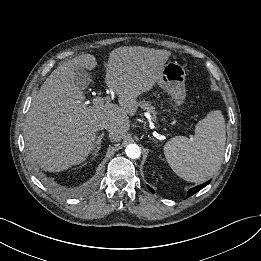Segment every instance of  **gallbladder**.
I'll use <instances>...</instances> for the list:
<instances>
[{
	"label": "gallbladder",
	"mask_w": 261,
	"mask_h": 261,
	"mask_svg": "<svg viewBox=\"0 0 261 261\" xmlns=\"http://www.w3.org/2000/svg\"><path fill=\"white\" fill-rule=\"evenodd\" d=\"M75 82L81 89H85L92 82V76L85 69L79 68L75 76Z\"/></svg>",
	"instance_id": "obj_1"
}]
</instances>
